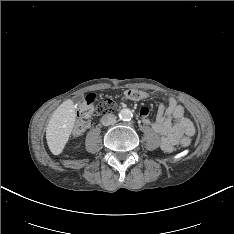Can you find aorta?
<instances>
[{"label": "aorta", "instance_id": "762f6f07", "mask_svg": "<svg viewBox=\"0 0 234 234\" xmlns=\"http://www.w3.org/2000/svg\"><path fill=\"white\" fill-rule=\"evenodd\" d=\"M119 117H120V119H122L124 121H128L132 118V112L130 109L124 108L120 111Z\"/></svg>", "mask_w": 234, "mask_h": 234}]
</instances>
